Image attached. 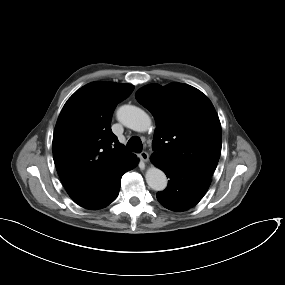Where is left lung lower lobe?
<instances>
[{
	"instance_id": "left-lung-lower-lobe-1",
	"label": "left lung lower lobe",
	"mask_w": 285,
	"mask_h": 285,
	"mask_svg": "<svg viewBox=\"0 0 285 285\" xmlns=\"http://www.w3.org/2000/svg\"><path fill=\"white\" fill-rule=\"evenodd\" d=\"M152 163L169 178L167 188L157 193L161 205L172 211H186L195 206L207 192L211 178L194 170L158 158Z\"/></svg>"
}]
</instances>
